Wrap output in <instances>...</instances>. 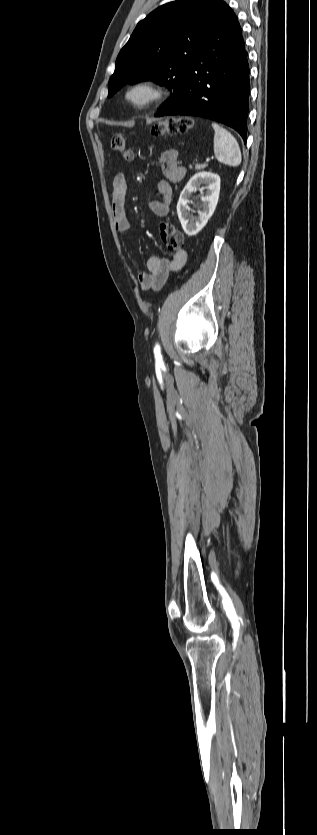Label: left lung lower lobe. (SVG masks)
Listing matches in <instances>:
<instances>
[{"label":"left lung lower lobe","instance_id":"0a47b994","mask_svg":"<svg viewBox=\"0 0 317 835\" xmlns=\"http://www.w3.org/2000/svg\"><path fill=\"white\" fill-rule=\"evenodd\" d=\"M242 30L229 7L190 65L179 97L162 106L156 117L192 115L236 130L247 140L249 64Z\"/></svg>","mask_w":317,"mask_h":835}]
</instances>
